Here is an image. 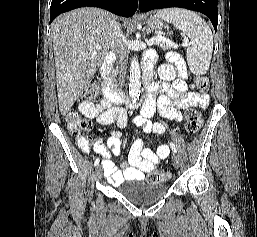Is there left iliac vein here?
I'll return each mask as SVG.
<instances>
[{
	"instance_id": "1",
	"label": "left iliac vein",
	"mask_w": 257,
	"mask_h": 237,
	"mask_svg": "<svg viewBox=\"0 0 257 237\" xmlns=\"http://www.w3.org/2000/svg\"><path fill=\"white\" fill-rule=\"evenodd\" d=\"M172 162L176 168H179L181 166V159L178 155H175V154L173 155Z\"/></svg>"
}]
</instances>
